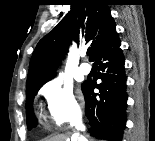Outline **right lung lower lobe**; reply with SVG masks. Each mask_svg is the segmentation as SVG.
Wrapping results in <instances>:
<instances>
[{
  "label": "right lung lower lobe",
  "mask_w": 155,
  "mask_h": 141,
  "mask_svg": "<svg viewBox=\"0 0 155 141\" xmlns=\"http://www.w3.org/2000/svg\"><path fill=\"white\" fill-rule=\"evenodd\" d=\"M120 40L114 32L98 49L93 60L98 65L96 84L87 80L82 84L85 98V115L90 123V133L97 138L120 141L126 124V75ZM97 88L99 93H94Z\"/></svg>",
  "instance_id": "98d812e1"
}]
</instances>
